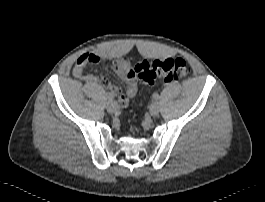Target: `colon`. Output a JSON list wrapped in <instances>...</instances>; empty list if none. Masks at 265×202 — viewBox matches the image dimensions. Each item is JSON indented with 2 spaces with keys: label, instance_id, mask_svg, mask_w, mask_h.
Segmentation results:
<instances>
[{
  "label": "colon",
  "instance_id": "5ec220e1",
  "mask_svg": "<svg viewBox=\"0 0 265 202\" xmlns=\"http://www.w3.org/2000/svg\"><path fill=\"white\" fill-rule=\"evenodd\" d=\"M189 74L190 67L181 58L142 60L135 65L132 71V76L145 87L154 85L158 79L164 82L178 81Z\"/></svg>",
  "mask_w": 265,
  "mask_h": 202
}]
</instances>
